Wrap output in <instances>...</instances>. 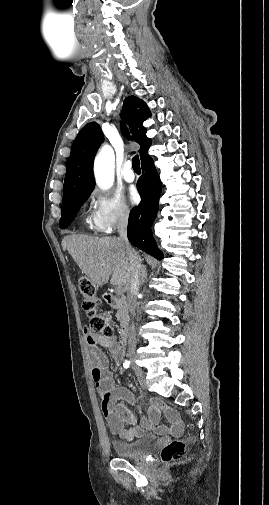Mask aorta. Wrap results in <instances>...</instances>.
<instances>
[{
    "label": "aorta",
    "instance_id": "aorta-1",
    "mask_svg": "<svg viewBox=\"0 0 269 505\" xmlns=\"http://www.w3.org/2000/svg\"><path fill=\"white\" fill-rule=\"evenodd\" d=\"M115 156L110 146L100 149L94 161V175L98 185L103 190H108L114 183Z\"/></svg>",
    "mask_w": 269,
    "mask_h": 505
}]
</instances>
